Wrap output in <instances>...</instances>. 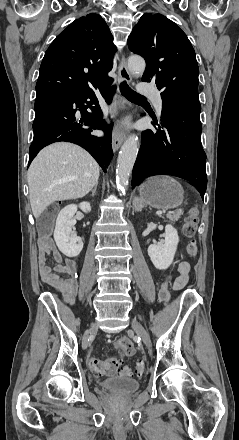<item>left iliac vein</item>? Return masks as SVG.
Segmentation results:
<instances>
[{
	"mask_svg": "<svg viewBox=\"0 0 239 440\" xmlns=\"http://www.w3.org/2000/svg\"><path fill=\"white\" fill-rule=\"evenodd\" d=\"M131 326H132L133 330L136 332V334L139 337H141L144 344L148 348H150L151 347L150 337H149V334L147 333V331L144 329V327L136 320H132Z\"/></svg>",
	"mask_w": 239,
	"mask_h": 440,
	"instance_id": "4c4485c4",
	"label": "left iliac vein"
}]
</instances>
